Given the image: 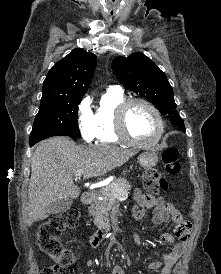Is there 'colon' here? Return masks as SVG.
I'll use <instances>...</instances> for the list:
<instances>
[{
    "label": "colon",
    "mask_w": 221,
    "mask_h": 274,
    "mask_svg": "<svg viewBox=\"0 0 221 274\" xmlns=\"http://www.w3.org/2000/svg\"><path fill=\"white\" fill-rule=\"evenodd\" d=\"M178 158L179 152L174 147L163 151L162 160L168 174L176 175L180 172ZM143 184L149 193L155 195L168 189L166 179L154 171H149L144 175ZM79 218V209L70 207L41 225L38 232L39 247L56 262L55 265L44 268L41 274H74L72 265L76 260L75 254L63 247L60 235L66 229L75 228Z\"/></svg>",
    "instance_id": "colon-1"
}]
</instances>
